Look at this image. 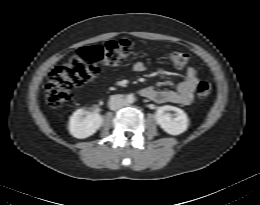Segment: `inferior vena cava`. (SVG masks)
<instances>
[{
  "mask_svg": "<svg viewBox=\"0 0 260 205\" xmlns=\"http://www.w3.org/2000/svg\"><path fill=\"white\" fill-rule=\"evenodd\" d=\"M124 99L119 96H113L109 100V107L111 110H117L124 105Z\"/></svg>",
  "mask_w": 260,
  "mask_h": 205,
  "instance_id": "602c4592",
  "label": "inferior vena cava"
}]
</instances>
